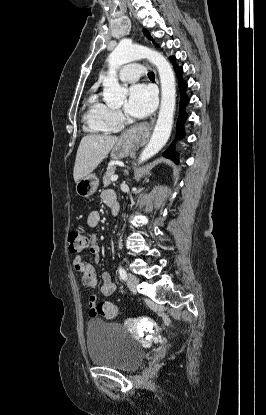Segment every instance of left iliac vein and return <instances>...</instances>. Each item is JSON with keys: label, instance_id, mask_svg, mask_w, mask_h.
I'll use <instances>...</instances> for the list:
<instances>
[{"label": "left iliac vein", "instance_id": "left-iliac-vein-1", "mask_svg": "<svg viewBox=\"0 0 266 415\" xmlns=\"http://www.w3.org/2000/svg\"><path fill=\"white\" fill-rule=\"evenodd\" d=\"M139 284V278L134 274L129 273L127 277V285L132 292H136Z\"/></svg>", "mask_w": 266, "mask_h": 415}]
</instances>
